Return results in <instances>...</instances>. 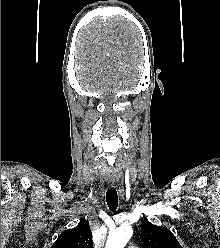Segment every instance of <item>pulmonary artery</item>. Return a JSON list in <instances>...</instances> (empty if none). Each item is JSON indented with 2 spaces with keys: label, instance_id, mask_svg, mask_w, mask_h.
<instances>
[{
  "label": "pulmonary artery",
  "instance_id": "e3ab8cb5",
  "mask_svg": "<svg viewBox=\"0 0 220 248\" xmlns=\"http://www.w3.org/2000/svg\"><path fill=\"white\" fill-rule=\"evenodd\" d=\"M128 248H137V247H135V246H130V247H128Z\"/></svg>",
  "mask_w": 220,
  "mask_h": 248
}]
</instances>
